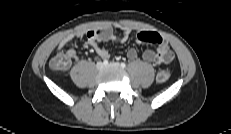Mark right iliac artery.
Listing matches in <instances>:
<instances>
[{"mask_svg":"<svg viewBox=\"0 0 231 134\" xmlns=\"http://www.w3.org/2000/svg\"><path fill=\"white\" fill-rule=\"evenodd\" d=\"M108 63H109V62H108V60H106V59L103 61V64H104L105 66L108 65Z\"/></svg>","mask_w":231,"mask_h":134,"instance_id":"1","label":"right iliac artery"}]
</instances>
